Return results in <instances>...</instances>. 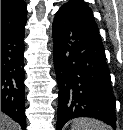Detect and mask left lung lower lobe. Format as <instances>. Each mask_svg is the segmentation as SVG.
Returning <instances> with one entry per match:
<instances>
[{
  "mask_svg": "<svg viewBox=\"0 0 123 130\" xmlns=\"http://www.w3.org/2000/svg\"><path fill=\"white\" fill-rule=\"evenodd\" d=\"M54 67L59 87L57 130L76 117H95L116 127V100L99 33L60 8L53 21Z\"/></svg>",
  "mask_w": 123,
  "mask_h": 130,
  "instance_id": "1",
  "label": "left lung lower lobe"
}]
</instances>
